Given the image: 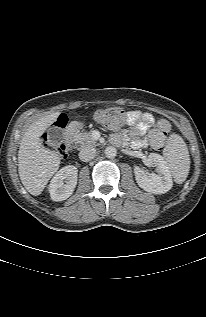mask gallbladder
I'll return each instance as SVG.
<instances>
[{
    "label": "gallbladder",
    "mask_w": 206,
    "mask_h": 317,
    "mask_svg": "<svg viewBox=\"0 0 206 317\" xmlns=\"http://www.w3.org/2000/svg\"><path fill=\"white\" fill-rule=\"evenodd\" d=\"M64 138V131L57 127H51L48 130V144L52 147H58Z\"/></svg>",
    "instance_id": "1"
}]
</instances>
